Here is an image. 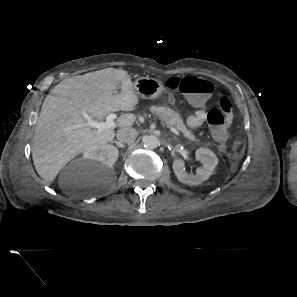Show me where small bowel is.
<instances>
[{
    "instance_id": "c3829d8e",
    "label": "small bowel",
    "mask_w": 297,
    "mask_h": 297,
    "mask_svg": "<svg viewBox=\"0 0 297 297\" xmlns=\"http://www.w3.org/2000/svg\"><path fill=\"white\" fill-rule=\"evenodd\" d=\"M197 104L198 110L187 119V125L191 128L200 127L206 119V111L204 106L201 102Z\"/></svg>"
}]
</instances>
